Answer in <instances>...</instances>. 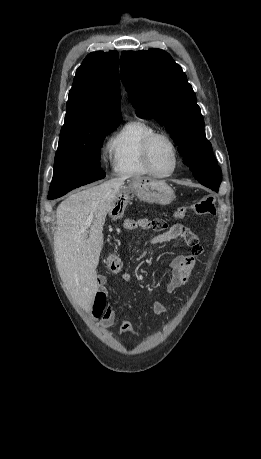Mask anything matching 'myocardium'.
Returning a JSON list of instances; mask_svg holds the SVG:
<instances>
[{"mask_svg":"<svg viewBox=\"0 0 261 459\" xmlns=\"http://www.w3.org/2000/svg\"><path fill=\"white\" fill-rule=\"evenodd\" d=\"M158 139L166 140L170 144V146H171V148L173 150L174 166H173L172 170L170 172H168V173H158V172H156L154 170L152 162H151L152 147H153L154 143ZM142 155H143L144 164H145L146 168L148 169L149 173L151 175L155 176V177H158V178H167V177L172 176L177 171L179 163H180L179 149H178V146H177L176 142L174 141V139L171 136H169L166 133H162V132H155V133L151 134L150 136H148L146 138V140L144 141V144H143Z\"/></svg>","mask_w":261,"mask_h":459,"instance_id":"1","label":"myocardium"}]
</instances>
